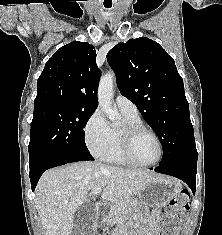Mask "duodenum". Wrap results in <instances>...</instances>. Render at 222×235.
Wrapping results in <instances>:
<instances>
[{
  "label": "duodenum",
  "instance_id": "1",
  "mask_svg": "<svg viewBox=\"0 0 222 235\" xmlns=\"http://www.w3.org/2000/svg\"><path fill=\"white\" fill-rule=\"evenodd\" d=\"M100 212H101V208L98 206L96 208V215L99 216L100 215Z\"/></svg>",
  "mask_w": 222,
  "mask_h": 235
}]
</instances>
